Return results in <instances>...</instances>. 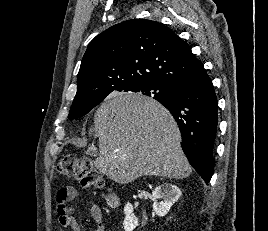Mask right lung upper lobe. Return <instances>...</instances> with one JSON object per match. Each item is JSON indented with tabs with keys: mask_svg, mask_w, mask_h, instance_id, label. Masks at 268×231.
Returning a JSON list of instances; mask_svg holds the SVG:
<instances>
[{
	"mask_svg": "<svg viewBox=\"0 0 268 231\" xmlns=\"http://www.w3.org/2000/svg\"><path fill=\"white\" fill-rule=\"evenodd\" d=\"M203 70L191 48L164 24L146 19L127 20L89 43L72 104L89 105L104 100L113 91L147 83L169 88Z\"/></svg>",
	"mask_w": 268,
	"mask_h": 231,
	"instance_id": "cb5924a9",
	"label": "right lung upper lobe"
}]
</instances>
